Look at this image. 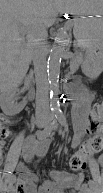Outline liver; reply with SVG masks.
<instances>
[{"instance_id":"obj_1","label":"liver","mask_w":103,"mask_h":193,"mask_svg":"<svg viewBox=\"0 0 103 193\" xmlns=\"http://www.w3.org/2000/svg\"><path fill=\"white\" fill-rule=\"evenodd\" d=\"M74 0H1V73L3 81L19 83L31 59V41L63 12L72 14Z\"/></svg>"}]
</instances>
